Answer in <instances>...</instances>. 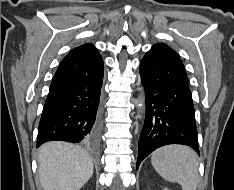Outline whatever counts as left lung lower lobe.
Wrapping results in <instances>:
<instances>
[{"mask_svg":"<svg viewBox=\"0 0 234 190\" xmlns=\"http://www.w3.org/2000/svg\"><path fill=\"white\" fill-rule=\"evenodd\" d=\"M139 71L146 117L136 169L151 152L168 144L187 145L200 154L192 94L179 55L166 44H155L141 60Z\"/></svg>","mask_w":234,"mask_h":190,"instance_id":"1","label":"left lung lower lobe"}]
</instances>
